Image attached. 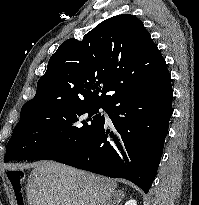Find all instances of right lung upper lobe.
Listing matches in <instances>:
<instances>
[{
	"label": "right lung upper lobe",
	"instance_id": "right-lung-upper-lobe-1",
	"mask_svg": "<svg viewBox=\"0 0 199 205\" xmlns=\"http://www.w3.org/2000/svg\"><path fill=\"white\" fill-rule=\"evenodd\" d=\"M165 73V59L143 23L130 14L117 15L98 24L82 41L63 42L39 79L35 97L23 107L67 102L108 108L136 92L144 78ZM108 91L114 94L106 96Z\"/></svg>",
	"mask_w": 199,
	"mask_h": 205
}]
</instances>
